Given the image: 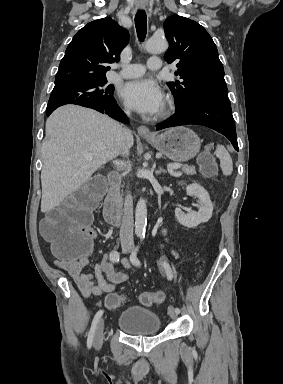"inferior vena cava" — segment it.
<instances>
[{"label":"inferior vena cava","instance_id":"obj_1","mask_svg":"<svg viewBox=\"0 0 283 384\" xmlns=\"http://www.w3.org/2000/svg\"><path fill=\"white\" fill-rule=\"evenodd\" d=\"M125 114H130V108H125ZM129 130L127 128H120L116 136V144L121 146V154L126 158L129 156V148L127 146V136ZM133 200L130 192L125 196L123 206L122 224L120 228V240L122 248H134L133 242Z\"/></svg>","mask_w":283,"mask_h":384}]
</instances>
